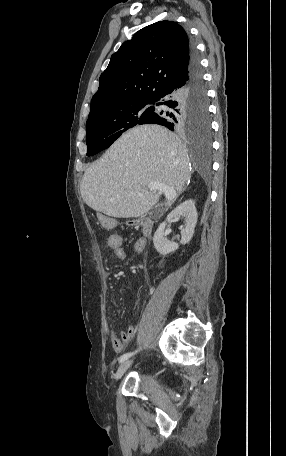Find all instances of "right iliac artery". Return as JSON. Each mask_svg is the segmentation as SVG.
Instances as JSON below:
<instances>
[{"label": "right iliac artery", "instance_id": "right-iliac-artery-1", "mask_svg": "<svg viewBox=\"0 0 286 456\" xmlns=\"http://www.w3.org/2000/svg\"><path fill=\"white\" fill-rule=\"evenodd\" d=\"M136 352H137V351H135V352H128V353L123 354V355L119 358V363L124 362V361L127 360L129 357H131L133 354H135Z\"/></svg>", "mask_w": 286, "mask_h": 456}]
</instances>
